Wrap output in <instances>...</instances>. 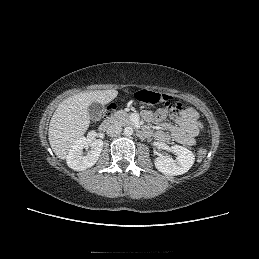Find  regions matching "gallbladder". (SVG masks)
I'll return each instance as SVG.
<instances>
[{"instance_id":"gallbladder-1","label":"gallbladder","mask_w":259,"mask_h":259,"mask_svg":"<svg viewBox=\"0 0 259 259\" xmlns=\"http://www.w3.org/2000/svg\"><path fill=\"white\" fill-rule=\"evenodd\" d=\"M88 113H89V117L94 120V121H98L103 113V107L101 104L94 102L91 103L88 107Z\"/></svg>"}]
</instances>
